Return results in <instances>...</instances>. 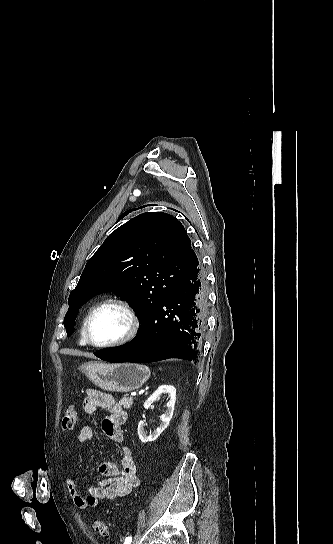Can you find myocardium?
Segmentation results:
<instances>
[{"mask_svg":"<svg viewBox=\"0 0 333 544\" xmlns=\"http://www.w3.org/2000/svg\"><path fill=\"white\" fill-rule=\"evenodd\" d=\"M108 304H115L120 306L124 309V311L127 313L129 317V327L127 332L119 339L109 342V343H96L92 340L90 336V323L92 320V317L94 314L103 306ZM140 328V319L136 312V309L132 305V303L127 300L126 298L119 297V296H110L102 299L98 303H96L88 312L83 325V333L84 338L87 342V344L99 348V349H106V348H113L118 347L121 345L126 344L127 342L131 341L138 333Z\"/></svg>","mask_w":333,"mask_h":544,"instance_id":"1","label":"myocardium"}]
</instances>
